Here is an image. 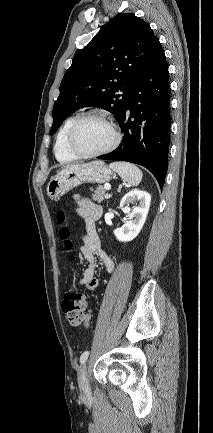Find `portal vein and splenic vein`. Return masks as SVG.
Masks as SVG:
<instances>
[{
	"mask_svg": "<svg viewBox=\"0 0 213 433\" xmlns=\"http://www.w3.org/2000/svg\"><path fill=\"white\" fill-rule=\"evenodd\" d=\"M104 188H105L106 190H110V189H111V186H110V184H106V185L104 186ZM110 196H111V195H107L106 198H110Z\"/></svg>",
	"mask_w": 213,
	"mask_h": 433,
	"instance_id": "18ae733b",
	"label": "portal vein and splenic vein"
}]
</instances>
